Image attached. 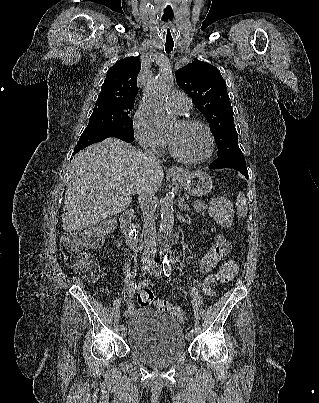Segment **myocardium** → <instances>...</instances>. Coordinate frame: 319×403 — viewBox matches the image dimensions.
Masks as SVG:
<instances>
[{
  "instance_id": "f54148a6",
  "label": "myocardium",
  "mask_w": 319,
  "mask_h": 403,
  "mask_svg": "<svg viewBox=\"0 0 319 403\" xmlns=\"http://www.w3.org/2000/svg\"><path fill=\"white\" fill-rule=\"evenodd\" d=\"M179 123L184 126L197 125V126L201 127L206 132L207 137H208V150H207L206 154L199 159H188V158L181 156L176 151L172 142L168 138L170 153H171L172 157L181 163L190 164V165H197V164H202V163L206 162L212 156L214 149H215V138H214V135H213L210 127L206 123L202 122L201 120L195 119V118H180Z\"/></svg>"
}]
</instances>
